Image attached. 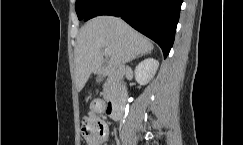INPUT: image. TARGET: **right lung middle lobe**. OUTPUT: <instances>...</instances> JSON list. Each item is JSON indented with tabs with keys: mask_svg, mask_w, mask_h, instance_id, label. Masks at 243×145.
I'll use <instances>...</instances> for the list:
<instances>
[{
	"mask_svg": "<svg viewBox=\"0 0 243 145\" xmlns=\"http://www.w3.org/2000/svg\"><path fill=\"white\" fill-rule=\"evenodd\" d=\"M100 0H76L75 10L79 20L84 19L92 7Z\"/></svg>",
	"mask_w": 243,
	"mask_h": 145,
	"instance_id": "obj_1",
	"label": "right lung middle lobe"
}]
</instances>
